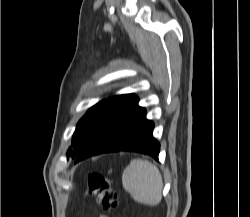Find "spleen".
Returning <instances> with one entry per match:
<instances>
[{
	"label": "spleen",
	"mask_w": 250,
	"mask_h": 217,
	"mask_svg": "<svg viewBox=\"0 0 250 217\" xmlns=\"http://www.w3.org/2000/svg\"><path fill=\"white\" fill-rule=\"evenodd\" d=\"M122 185L124 190L140 204L156 206L162 200L161 173L147 160H131L122 173Z\"/></svg>",
	"instance_id": "1"
}]
</instances>
